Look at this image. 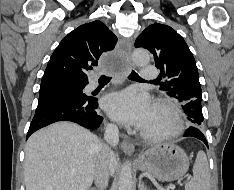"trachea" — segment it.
<instances>
[{"label": "trachea", "instance_id": "1", "mask_svg": "<svg viewBox=\"0 0 234 190\" xmlns=\"http://www.w3.org/2000/svg\"><path fill=\"white\" fill-rule=\"evenodd\" d=\"M128 78L131 79V80H142L140 78V76L135 71H132L131 74L128 76ZM100 80H102V81H110L111 77L103 75V76H101Z\"/></svg>", "mask_w": 234, "mask_h": 190}]
</instances>
